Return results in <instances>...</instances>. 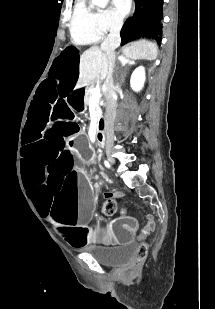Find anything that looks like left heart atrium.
<instances>
[{"label":"left heart atrium","mask_w":215,"mask_h":309,"mask_svg":"<svg viewBox=\"0 0 215 309\" xmlns=\"http://www.w3.org/2000/svg\"><path fill=\"white\" fill-rule=\"evenodd\" d=\"M115 7H118V12H129L128 0H112Z\"/></svg>","instance_id":"obj_1"}]
</instances>
